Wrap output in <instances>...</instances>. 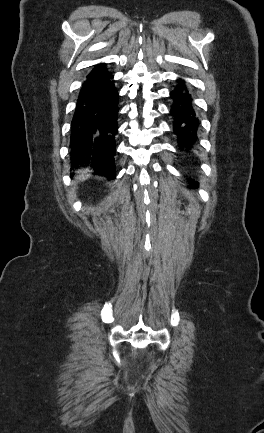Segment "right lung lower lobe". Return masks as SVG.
<instances>
[{"label": "right lung lower lobe", "instance_id": "obj_1", "mask_svg": "<svg viewBox=\"0 0 264 433\" xmlns=\"http://www.w3.org/2000/svg\"><path fill=\"white\" fill-rule=\"evenodd\" d=\"M112 79L103 63L89 73L78 96L70 139L74 163H91L97 174L108 179L115 178L114 137L119 111V95Z\"/></svg>", "mask_w": 264, "mask_h": 433}]
</instances>
